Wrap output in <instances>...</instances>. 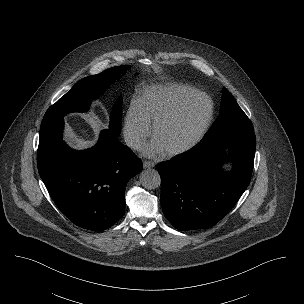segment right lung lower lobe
Instances as JSON below:
<instances>
[{
    "label": "right lung lower lobe",
    "instance_id": "obj_1",
    "mask_svg": "<svg viewBox=\"0 0 304 304\" xmlns=\"http://www.w3.org/2000/svg\"><path fill=\"white\" fill-rule=\"evenodd\" d=\"M63 117L43 121L37 155L39 174L59 210L75 225L105 230L125 212L127 182L142 161L111 130L91 149L75 151L62 140Z\"/></svg>",
    "mask_w": 304,
    "mask_h": 304
}]
</instances>
